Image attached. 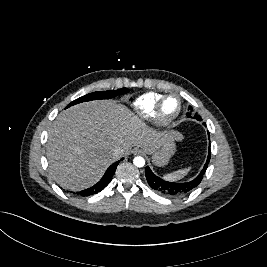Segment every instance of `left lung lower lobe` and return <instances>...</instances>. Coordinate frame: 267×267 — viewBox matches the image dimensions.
<instances>
[{"label": "left lung lower lobe", "mask_w": 267, "mask_h": 267, "mask_svg": "<svg viewBox=\"0 0 267 267\" xmlns=\"http://www.w3.org/2000/svg\"><path fill=\"white\" fill-rule=\"evenodd\" d=\"M210 154L211 153H210V146H209V153H208L207 161L202 171L195 179L189 182L179 183V182L165 181L164 179L155 175L148 166L145 169L147 182L150 185V187L153 188L155 191L168 197H181V196L187 195L191 191H193L202 181L203 175L205 174L207 166L209 164Z\"/></svg>", "instance_id": "0a47b994"}]
</instances>
